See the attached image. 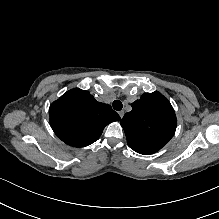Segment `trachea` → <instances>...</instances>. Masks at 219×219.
<instances>
[{"label":"trachea","instance_id":"3493384b","mask_svg":"<svg viewBox=\"0 0 219 219\" xmlns=\"http://www.w3.org/2000/svg\"><path fill=\"white\" fill-rule=\"evenodd\" d=\"M113 108H114L115 110H117V111L122 110V108H123L122 102H121L120 100H115V101L113 102Z\"/></svg>","mask_w":219,"mask_h":219}]
</instances>
